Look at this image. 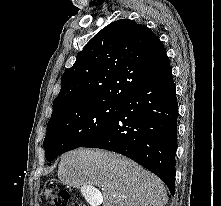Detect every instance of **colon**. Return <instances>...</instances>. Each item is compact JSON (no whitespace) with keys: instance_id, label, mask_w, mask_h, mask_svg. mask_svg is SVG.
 Here are the masks:
<instances>
[{"instance_id":"obj_1","label":"colon","mask_w":221,"mask_h":206,"mask_svg":"<svg viewBox=\"0 0 221 206\" xmlns=\"http://www.w3.org/2000/svg\"><path fill=\"white\" fill-rule=\"evenodd\" d=\"M71 195L67 190H59L50 198V206H69Z\"/></svg>"}]
</instances>
